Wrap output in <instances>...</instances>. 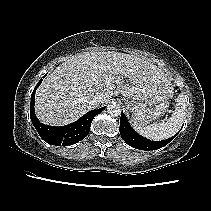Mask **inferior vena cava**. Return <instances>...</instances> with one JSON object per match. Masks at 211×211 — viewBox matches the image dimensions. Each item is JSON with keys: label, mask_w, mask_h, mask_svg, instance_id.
Instances as JSON below:
<instances>
[{"label": "inferior vena cava", "mask_w": 211, "mask_h": 211, "mask_svg": "<svg viewBox=\"0 0 211 211\" xmlns=\"http://www.w3.org/2000/svg\"><path fill=\"white\" fill-rule=\"evenodd\" d=\"M102 101H103V98H102V96L101 95H95L90 101H89V105L91 106V107H98V106H100L101 105V103H102Z\"/></svg>", "instance_id": "602c4592"}]
</instances>
